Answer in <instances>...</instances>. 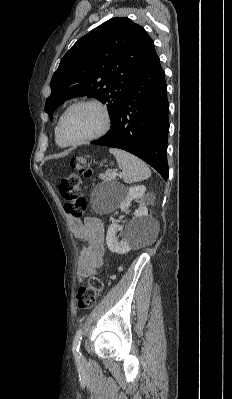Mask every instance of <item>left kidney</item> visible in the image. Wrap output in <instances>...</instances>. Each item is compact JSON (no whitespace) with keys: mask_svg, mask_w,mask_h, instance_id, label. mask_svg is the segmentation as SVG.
Listing matches in <instances>:
<instances>
[{"mask_svg":"<svg viewBox=\"0 0 232 399\" xmlns=\"http://www.w3.org/2000/svg\"><path fill=\"white\" fill-rule=\"evenodd\" d=\"M146 192L145 186H131L125 190V198L120 203L121 211H127L130 201L141 200V205L134 211V217L126 225L124 239L118 241L116 233L119 229L118 223H111L107 231V245L110 251L116 253H127L132 249L133 245H138L146 239L150 229H153V223L148 217V209L144 201V194Z\"/></svg>","mask_w":232,"mask_h":399,"instance_id":"left-kidney-1","label":"left kidney"}]
</instances>
